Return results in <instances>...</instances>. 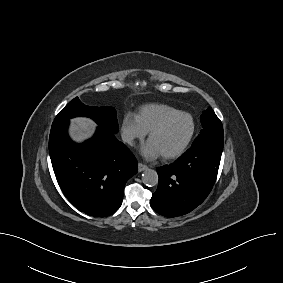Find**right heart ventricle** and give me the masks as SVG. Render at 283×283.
<instances>
[{"mask_svg":"<svg viewBox=\"0 0 283 283\" xmlns=\"http://www.w3.org/2000/svg\"><path fill=\"white\" fill-rule=\"evenodd\" d=\"M178 111L176 108L159 103H150L142 106L137 117L142 127L148 132L164 116Z\"/></svg>","mask_w":283,"mask_h":283,"instance_id":"e07e8e85","label":"right heart ventricle"}]
</instances>
